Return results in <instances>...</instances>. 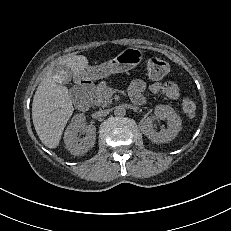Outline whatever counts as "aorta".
<instances>
[{"mask_svg":"<svg viewBox=\"0 0 231 231\" xmlns=\"http://www.w3.org/2000/svg\"><path fill=\"white\" fill-rule=\"evenodd\" d=\"M114 115L117 117H124L126 115V109L124 106H116L114 109Z\"/></svg>","mask_w":231,"mask_h":231,"instance_id":"obj_1","label":"aorta"}]
</instances>
